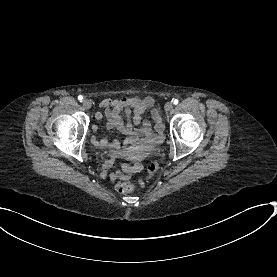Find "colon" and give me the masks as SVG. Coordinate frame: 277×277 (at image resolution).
<instances>
[{"label":"colon","mask_w":277,"mask_h":277,"mask_svg":"<svg viewBox=\"0 0 277 277\" xmlns=\"http://www.w3.org/2000/svg\"><path fill=\"white\" fill-rule=\"evenodd\" d=\"M159 167L157 163H152L148 166V174L150 176H153L155 173H157ZM137 187V184L134 183L131 180H122L116 183L115 189L119 193H128L130 191H133Z\"/></svg>","instance_id":"obj_1"}]
</instances>
